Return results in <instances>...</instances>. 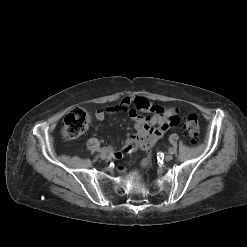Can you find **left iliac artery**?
Returning <instances> with one entry per match:
<instances>
[{"label":"left iliac artery","mask_w":247,"mask_h":247,"mask_svg":"<svg viewBox=\"0 0 247 247\" xmlns=\"http://www.w3.org/2000/svg\"><path fill=\"white\" fill-rule=\"evenodd\" d=\"M169 152H170L171 154H175V153H176V149H175V148H169Z\"/></svg>","instance_id":"left-iliac-artery-1"}]
</instances>
